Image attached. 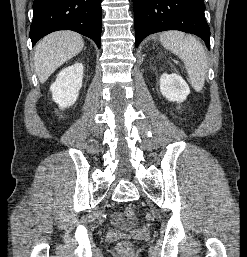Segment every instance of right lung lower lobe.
I'll use <instances>...</instances> for the list:
<instances>
[{
  "mask_svg": "<svg viewBox=\"0 0 247 257\" xmlns=\"http://www.w3.org/2000/svg\"><path fill=\"white\" fill-rule=\"evenodd\" d=\"M30 27L32 45L57 30H73L101 46V0H34Z\"/></svg>",
  "mask_w": 247,
  "mask_h": 257,
  "instance_id": "right-lung-lower-lobe-1",
  "label": "right lung lower lobe"
}]
</instances>
